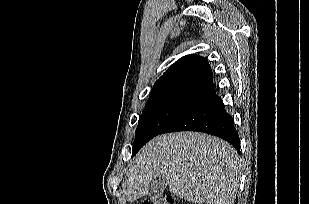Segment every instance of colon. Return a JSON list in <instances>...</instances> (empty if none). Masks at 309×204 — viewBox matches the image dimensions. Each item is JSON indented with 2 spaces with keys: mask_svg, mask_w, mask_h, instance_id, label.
Masks as SVG:
<instances>
[{
  "mask_svg": "<svg viewBox=\"0 0 309 204\" xmlns=\"http://www.w3.org/2000/svg\"><path fill=\"white\" fill-rule=\"evenodd\" d=\"M142 204H175L174 198L170 195L161 197H150L143 201Z\"/></svg>",
  "mask_w": 309,
  "mask_h": 204,
  "instance_id": "5ec220e1",
  "label": "colon"
}]
</instances>
